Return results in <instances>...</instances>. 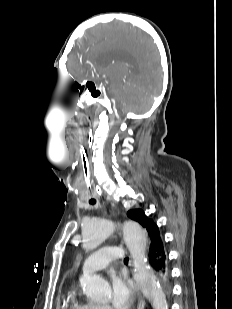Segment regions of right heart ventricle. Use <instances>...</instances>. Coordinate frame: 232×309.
Here are the masks:
<instances>
[{
  "label": "right heart ventricle",
  "instance_id": "1",
  "mask_svg": "<svg viewBox=\"0 0 232 309\" xmlns=\"http://www.w3.org/2000/svg\"><path fill=\"white\" fill-rule=\"evenodd\" d=\"M68 309H100V305L82 297L78 292L73 290L69 294Z\"/></svg>",
  "mask_w": 232,
  "mask_h": 309
}]
</instances>
